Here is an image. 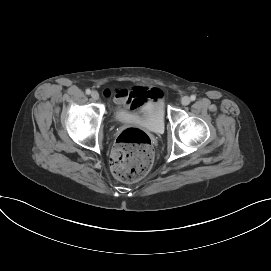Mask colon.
I'll use <instances>...</instances> for the list:
<instances>
[{
    "label": "colon",
    "instance_id": "colon-1",
    "mask_svg": "<svg viewBox=\"0 0 271 271\" xmlns=\"http://www.w3.org/2000/svg\"><path fill=\"white\" fill-rule=\"evenodd\" d=\"M154 159L149 135L139 128H127L116 139L111 152L112 174L123 182L143 178L150 170Z\"/></svg>",
    "mask_w": 271,
    "mask_h": 271
}]
</instances>
